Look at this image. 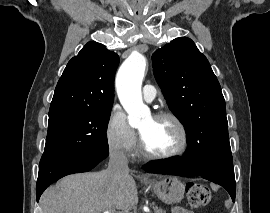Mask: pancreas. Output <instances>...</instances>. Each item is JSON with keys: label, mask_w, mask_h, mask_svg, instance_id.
Segmentation results:
<instances>
[{"label": "pancreas", "mask_w": 270, "mask_h": 213, "mask_svg": "<svg viewBox=\"0 0 270 213\" xmlns=\"http://www.w3.org/2000/svg\"><path fill=\"white\" fill-rule=\"evenodd\" d=\"M153 208H154L155 213H166L165 210L158 208L157 206H154Z\"/></svg>", "instance_id": "pancreas-1"}]
</instances>
